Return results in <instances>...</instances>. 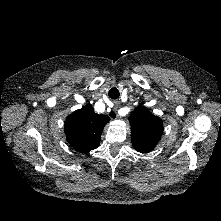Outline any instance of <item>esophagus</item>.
Masks as SVG:
<instances>
[{
	"instance_id": "esophagus-1",
	"label": "esophagus",
	"mask_w": 221,
	"mask_h": 221,
	"mask_svg": "<svg viewBox=\"0 0 221 221\" xmlns=\"http://www.w3.org/2000/svg\"><path fill=\"white\" fill-rule=\"evenodd\" d=\"M119 105H120L119 100H114L113 101V113H112L113 118H118V115L116 114V110L118 109Z\"/></svg>"
}]
</instances>
